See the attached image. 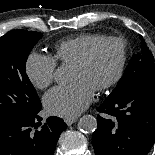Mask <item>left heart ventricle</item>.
Segmentation results:
<instances>
[{"instance_id":"b2bd125f","label":"left heart ventricle","mask_w":155,"mask_h":155,"mask_svg":"<svg viewBox=\"0 0 155 155\" xmlns=\"http://www.w3.org/2000/svg\"><path fill=\"white\" fill-rule=\"evenodd\" d=\"M120 55L118 44L102 45L86 66L72 67L71 81H83L95 91L98 86L113 77L120 62Z\"/></svg>"}]
</instances>
